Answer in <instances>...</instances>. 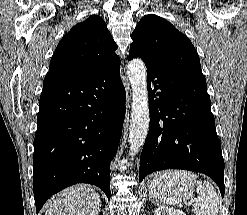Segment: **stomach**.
Segmentation results:
<instances>
[{"label": "stomach", "mask_w": 247, "mask_h": 215, "mask_svg": "<svg viewBox=\"0 0 247 215\" xmlns=\"http://www.w3.org/2000/svg\"><path fill=\"white\" fill-rule=\"evenodd\" d=\"M194 183V175L190 172L167 171L151 180L149 193L158 202L178 204L193 195Z\"/></svg>", "instance_id": "stomach-1"}]
</instances>
